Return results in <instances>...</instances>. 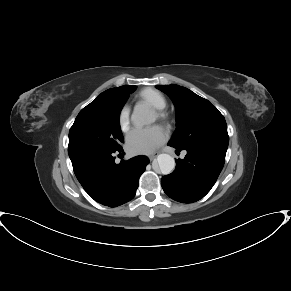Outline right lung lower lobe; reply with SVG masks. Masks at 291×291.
<instances>
[{
	"label": "right lung lower lobe",
	"instance_id": "right-lung-lower-lobe-1",
	"mask_svg": "<svg viewBox=\"0 0 291 291\" xmlns=\"http://www.w3.org/2000/svg\"><path fill=\"white\" fill-rule=\"evenodd\" d=\"M122 151V147L116 150L88 146L68 148L80 184L91 198L109 207L134 198L139 178L149 163L146 156H136L116 164L114 153Z\"/></svg>",
	"mask_w": 291,
	"mask_h": 291
}]
</instances>
